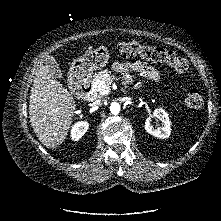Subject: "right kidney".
I'll return each mask as SVG.
<instances>
[{"mask_svg":"<svg viewBox=\"0 0 221 221\" xmlns=\"http://www.w3.org/2000/svg\"><path fill=\"white\" fill-rule=\"evenodd\" d=\"M89 124L85 121L75 123L71 129V138L78 141L87 131Z\"/></svg>","mask_w":221,"mask_h":221,"instance_id":"obj_1","label":"right kidney"}]
</instances>
